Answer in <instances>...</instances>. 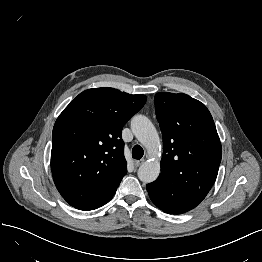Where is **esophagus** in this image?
<instances>
[{"mask_svg": "<svg viewBox=\"0 0 262 262\" xmlns=\"http://www.w3.org/2000/svg\"><path fill=\"white\" fill-rule=\"evenodd\" d=\"M143 163H144V159L134 160V165H135L136 167L140 166V165L143 164Z\"/></svg>", "mask_w": 262, "mask_h": 262, "instance_id": "obj_1", "label": "esophagus"}]
</instances>
